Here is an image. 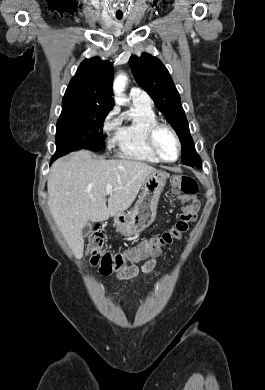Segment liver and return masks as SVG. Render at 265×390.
I'll list each match as a JSON object with an SVG mask.
<instances>
[{
	"instance_id": "liver-1",
	"label": "liver",
	"mask_w": 265,
	"mask_h": 390,
	"mask_svg": "<svg viewBox=\"0 0 265 390\" xmlns=\"http://www.w3.org/2000/svg\"><path fill=\"white\" fill-rule=\"evenodd\" d=\"M154 171V167L135 160H98L87 150L54 162L47 181L48 206L76 258L83 255L86 223L105 221L127 210ZM108 184L113 191L107 207Z\"/></svg>"
}]
</instances>
